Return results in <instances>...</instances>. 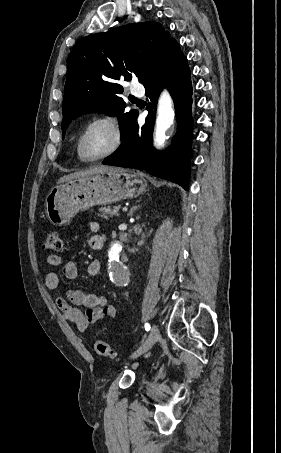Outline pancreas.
I'll list each match as a JSON object with an SVG mask.
<instances>
[{"label":"pancreas","instance_id":"1","mask_svg":"<svg viewBox=\"0 0 281 453\" xmlns=\"http://www.w3.org/2000/svg\"><path fill=\"white\" fill-rule=\"evenodd\" d=\"M119 208L120 204L119 206H113V208H110V206H108V208H105V206H101V208H99V210H101V214H98V216H103V218H108V216H114V214H117L118 216Z\"/></svg>","mask_w":281,"mask_h":453}]
</instances>
